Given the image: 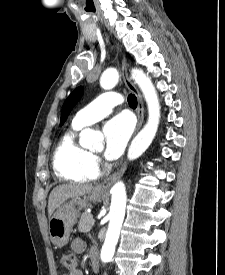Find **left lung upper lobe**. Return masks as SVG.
<instances>
[{
  "label": "left lung upper lobe",
  "mask_w": 225,
  "mask_h": 275,
  "mask_svg": "<svg viewBox=\"0 0 225 275\" xmlns=\"http://www.w3.org/2000/svg\"><path fill=\"white\" fill-rule=\"evenodd\" d=\"M83 92V88L82 87H78L77 89H75L70 95L69 97L66 99L63 108H62V112H61V121H60V125H62L70 111L72 110V108L75 106V104L79 101L81 95Z\"/></svg>",
  "instance_id": "5c2ea615"
}]
</instances>
